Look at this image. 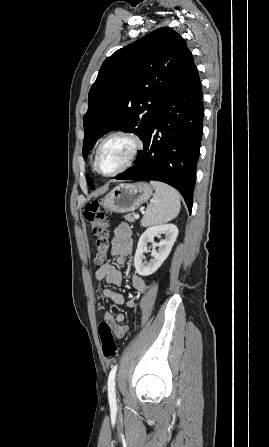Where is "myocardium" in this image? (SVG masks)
<instances>
[{"instance_id":"f54148a6","label":"myocardium","mask_w":269,"mask_h":447,"mask_svg":"<svg viewBox=\"0 0 269 447\" xmlns=\"http://www.w3.org/2000/svg\"><path fill=\"white\" fill-rule=\"evenodd\" d=\"M116 136H126V137L130 138L134 142L133 150H132L128 160L126 161V163L123 164L121 167H119L111 172H103L99 168L100 152H101L104 144L107 141H109L111 138L116 137ZM143 147H144V141L139 134H137L133 131H130V130H122V129L113 131L105 136V138L101 141V143L99 144V146L97 148L96 155H95V168L100 174H102L104 176H113L117 173L123 172V171L129 169L135 163V161L137 160Z\"/></svg>"}]
</instances>
